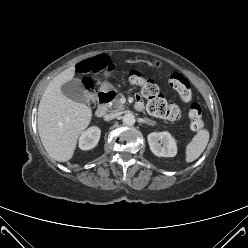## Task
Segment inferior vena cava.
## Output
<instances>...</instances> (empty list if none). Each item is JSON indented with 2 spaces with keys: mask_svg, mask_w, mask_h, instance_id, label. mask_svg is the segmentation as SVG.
<instances>
[{
  "mask_svg": "<svg viewBox=\"0 0 248 248\" xmlns=\"http://www.w3.org/2000/svg\"><path fill=\"white\" fill-rule=\"evenodd\" d=\"M117 116H118L117 113H109V114H106V115L104 116V120H105V121H110V120L115 119Z\"/></svg>",
  "mask_w": 248,
  "mask_h": 248,
  "instance_id": "602c4592",
  "label": "inferior vena cava"
}]
</instances>
